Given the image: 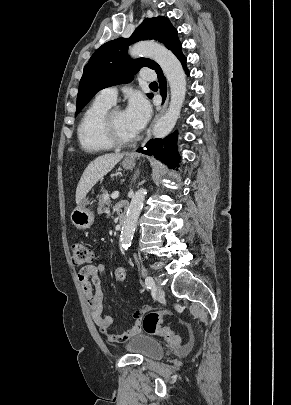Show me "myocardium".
Returning <instances> with one entry per match:
<instances>
[{
	"label": "myocardium",
	"instance_id": "obj_1",
	"mask_svg": "<svg viewBox=\"0 0 291 405\" xmlns=\"http://www.w3.org/2000/svg\"><path fill=\"white\" fill-rule=\"evenodd\" d=\"M118 111H121V108L119 107H114L111 108L107 111L103 118V123H102V130L104 137L106 140L113 146V147H129L135 144L138 140V136H134L131 139H123L121 138L114 127L113 123V117L114 114Z\"/></svg>",
	"mask_w": 291,
	"mask_h": 405
}]
</instances>
